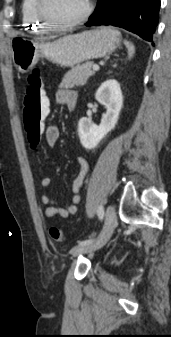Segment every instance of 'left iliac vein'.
Listing matches in <instances>:
<instances>
[{"label":"left iliac vein","instance_id":"left-iliac-vein-1","mask_svg":"<svg viewBox=\"0 0 171 337\" xmlns=\"http://www.w3.org/2000/svg\"><path fill=\"white\" fill-rule=\"evenodd\" d=\"M117 223L116 212L113 206H108L105 214V223L100 234L91 242L79 244L72 248L71 254L79 256L81 254L90 253L102 248L110 239Z\"/></svg>","mask_w":171,"mask_h":337}]
</instances>
